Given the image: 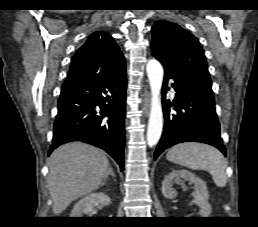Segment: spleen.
<instances>
[{"label": "spleen", "mask_w": 258, "mask_h": 227, "mask_svg": "<svg viewBox=\"0 0 258 227\" xmlns=\"http://www.w3.org/2000/svg\"><path fill=\"white\" fill-rule=\"evenodd\" d=\"M166 158L193 170L209 172L220 188L227 184L226 161L222 153L212 146L195 142L177 144L170 148Z\"/></svg>", "instance_id": "spleen-1"}]
</instances>
